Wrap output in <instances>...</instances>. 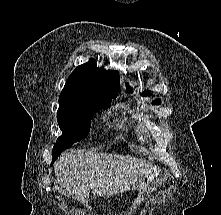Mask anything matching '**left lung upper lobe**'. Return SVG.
Returning a JSON list of instances; mask_svg holds the SVG:
<instances>
[{
	"mask_svg": "<svg viewBox=\"0 0 221 215\" xmlns=\"http://www.w3.org/2000/svg\"><path fill=\"white\" fill-rule=\"evenodd\" d=\"M128 92H132V89H128L127 90ZM150 94V91H144L143 93H142V96H147V95H149ZM154 104L155 105H159L160 104V99H157L155 102H154Z\"/></svg>",
	"mask_w": 221,
	"mask_h": 215,
	"instance_id": "left-lung-upper-lobe-1",
	"label": "left lung upper lobe"
}]
</instances>
